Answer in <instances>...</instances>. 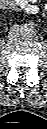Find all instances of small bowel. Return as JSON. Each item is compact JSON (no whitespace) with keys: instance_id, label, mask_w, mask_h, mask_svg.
<instances>
[{"instance_id":"1","label":"small bowel","mask_w":47,"mask_h":129,"mask_svg":"<svg viewBox=\"0 0 47 129\" xmlns=\"http://www.w3.org/2000/svg\"><path fill=\"white\" fill-rule=\"evenodd\" d=\"M37 0H2L1 6L5 9H19L28 14H36L39 8Z\"/></svg>"}]
</instances>
